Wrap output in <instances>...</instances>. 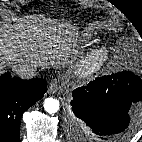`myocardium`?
Here are the masks:
<instances>
[{
	"mask_svg": "<svg viewBox=\"0 0 142 142\" xmlns=\"http://www.w3.org/2000/svg\"><path fill=\"white\" fill-rule=\"evenodd\" d=\"M110 57L107 49L101 48L90 52L76 66V74L82 78H89L101 72Z\"/></svg>",
	"mask_w": 142,
	"mask_h": 142,
	"instance_id": "obj_1",
	"label": "myocardium"
}]
</instances>
